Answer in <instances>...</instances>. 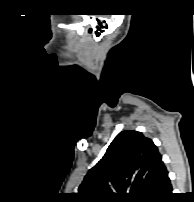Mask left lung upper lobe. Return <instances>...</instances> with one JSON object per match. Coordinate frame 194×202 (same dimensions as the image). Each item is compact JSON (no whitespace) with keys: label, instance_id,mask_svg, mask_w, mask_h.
Wrapping results in <instances>:
<instances>
[{"label":"left lung upper lobe","instance_id":"1","mask_svg":"<svg viewBox=\"0 0 194 202\" xmlns=\"http://www.w3.org/2000/svg\"><path fill=\"white\" fill-rule=\"evenodd\" d=\"M162 156L141 132H120L79 187L84 202L152 201L165 170Z\"/></svg>","mask_w":194,"mask_h":202}]
</instances>
